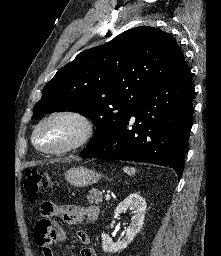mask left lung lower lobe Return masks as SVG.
<instances>
[{
  "instance_id": "0a47b994",
  "label": "left lung lower lobe",
  "mask_w": 221,
  "mask_h": 256,
  "mask_svg": "<svg viewBox=\"0 0 221 256\" xmlns=\"http://www.w3.org/2000/svg\"><path fill=\"white\" fill-rule=\"evenodd\" d=\"M194 87L185 65L155 86L118 126L107 130L81 153L82 158L147 162L183 173L193 118ZM135 123L129 128V121Z\"/></svg>"
}]
</instances>
